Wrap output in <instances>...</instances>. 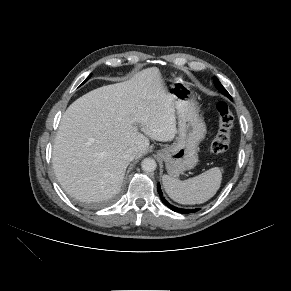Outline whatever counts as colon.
I'll list each match as a JSON object with an SVG mask.
<instances>
[{
  "instance_id": "obj_1",
  "label": "colon",
  "mask_w": 291,
  "mask_h": 291,
  "mask_svg": "<svg viewBox=\"0 0 291 291\" xmlns=\"http://www.w3.org/2000/svg\"><path fill=\"white\" fill-rule=\"evenodd\" d=\"M216 109L219 117V125L218 131L212 139L210 150L214 154H221L229 148L234 117L225 102H219Z\"/></svg>"
}]
</instances>
